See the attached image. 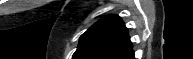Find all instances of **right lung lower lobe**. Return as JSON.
I'll use <instances>...</instances> for the list:
<instances>
[{
	"mask_svg": "<svg viewBox=\"0 0 193 59\" xmlns=\"http://www.w3.org/2000/svg\"><path fill=\"white\" fill-rule=\"evenodd\" d=\"M129 59H135V58H134V55H132Z\"/></svg>",
	"mask_w": 193,
	"mask_h": 59,
	"instance_id": "1",
	"label": "right lung lower lobe"
}]
</instances>
